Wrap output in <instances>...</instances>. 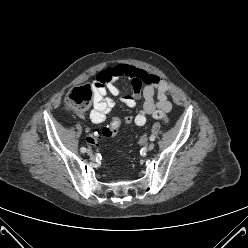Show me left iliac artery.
<instances>
[{
    "instance_id": "left-iliac-artery-1",
    "label": "left iliac artery",
    "mask_w": 248,
    "mask_h": 248,
    "mask_svg": "<svg viewBox=\"0 0 248 248\" xmlns=\"http://www.w3.org/2000/svg\"><path fill=\"white\" fill-rule=\"evenodd\" d=\"M155 140V136L154 135H151L150 136V141H154Z\"/></svg>"
}]
</instances>
